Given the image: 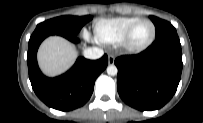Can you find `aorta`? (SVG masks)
Returning <instances> with one entry per match:
<instances>
[{
  "label": "aorta",
  "mask_w": 203,
  "mask_h": 123,
  "mask_svg": "<svg viewBox=\"0 0 203 123\" xmlns=\"http://www.w3.org/2000/svg\"><path fill=\"white\" fill-rule=\"evenodd\" d=\"M118 69L115 65H109L107 67V74L111 76L117 75Z\"/></svg>",
  "instance_id": "obj_1"
}]
</instances>
